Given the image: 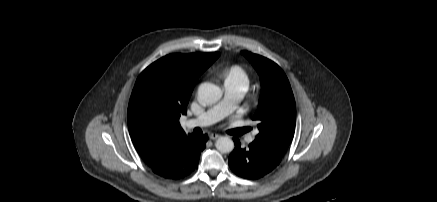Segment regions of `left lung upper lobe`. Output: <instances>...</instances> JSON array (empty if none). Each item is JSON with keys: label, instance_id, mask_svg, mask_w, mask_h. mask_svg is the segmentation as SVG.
I'll use <instances>...</instances> for the list:
<instances>
[{"label": "left lung upper lobe", "instance_id": "5c2ea615", "mask_svg": "<svg viewBox=\"0 0 437 202\" xmlns=\"http://www.w3.org/2000/svg\"><path fill=\"white\" fill-rule=\"evenodd\" d=\"M241 53L256 69L262 84L258 109L253 116L259 133L252 143L280 162L295 131L296 105L290 83L273 61L248 51Z\"/></svg>", "mask_w": 437, "mask_h": 202}]
</instances>
